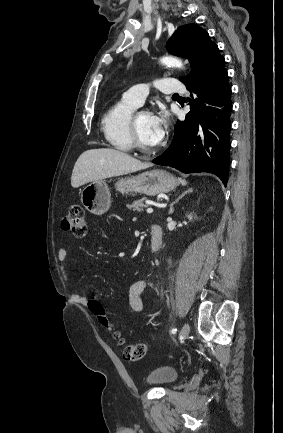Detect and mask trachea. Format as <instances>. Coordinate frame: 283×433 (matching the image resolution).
Wrapping results in <instances>:
<instances>
[{"instance_id": "obj_1", "label": "trachea", "mask_w": 283, "mask_h": 433, "mask_svg": "<svg viewBox=\"0 0 283 433\" xmlns=\"http://www.w3.org/2000/svg\"><path fill=\"white\" fill-rule=\"evenodd\" d=\"M174 95H178V93H174Z\"/></svg>"}]
</instances>
